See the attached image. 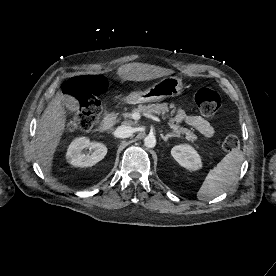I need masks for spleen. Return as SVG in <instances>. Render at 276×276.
<instances>
[{
    "mask_svg": "<svg viewBox=\"0 0 276 276\" xmlns=\"http://www.w3.org/2000/svg\"><path fill=\"white\" fill-rule=\"evenodd\" d=\"M244 160L242 151L234 149L210 170L197 192V198L208 201L224 193L235 181Z\"/></svg>",
    "mask_w": 276,
    "mask_h": 276,
    "instance_id": "obj_1",
    "label": "spleen"
}]
</instances>
